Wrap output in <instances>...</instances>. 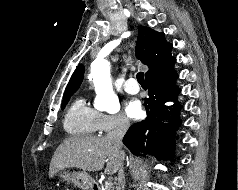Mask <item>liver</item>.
<instances>
[{
  "mask_svg": "<svg viewBox=\"0 0 238 190\" xmlns=\"http://www.w3.org/2000/svg\"><path fill=\"white\" fill-rule=\"evenodd\" d=\"M124 153V152H123ZM124 155L107 137H70L61 143L52 157L49 177L53 178L60 170L75 167L84 172L103 169L112 175L119 171Z\"/></svg>",
  "mask_w": 238,
  "mask_h": 190,
  "instance_id": "obj_1",
  "label": "liver"
}]
</instances>
